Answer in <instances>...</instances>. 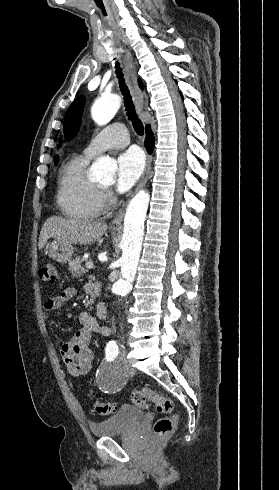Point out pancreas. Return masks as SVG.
I'll return each instance as SVG.
<instances>
[{
    "label": "pancreas",
    "mask_w": 279,
    "mask_h": 490,
    "mask_svg": "<svg viewBox=\"0 0 279 490\" xmlns=\"http://www.w3.org/2000/svg\"><path fill=\"white\" fill-rule=\"evenodd\" d=\"M82 260L80 258H76V260H71L69 262V272H71L74 278H81L83 274H86L87 270L81 266Z\"/></svg>",
    "instance_id": "obj_1"
}]
</instances>
